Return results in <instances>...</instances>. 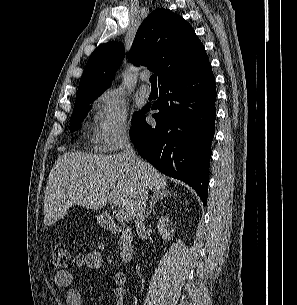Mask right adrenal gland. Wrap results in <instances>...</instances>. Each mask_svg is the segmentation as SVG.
Returning <instances> with one entry per match:
<instances>
[{"label": "right adrenal gland", "instance_id": "right-adrenal-gland-1", "mask_svg": "<svg viewBox=\"0 0 297 305\" xmlns=\"http://www.w3.org/2000/svg\"><path fill=\"white\" fill-rule=\"evenodd\" d=\"M171 196V193L169 191H153L152 195H151V201H150V205H149V209L145 215V218H148L152 211L154 206L157 204V202L165 197Z\"/></svg>", "mask_w": 297, "mask_h": 305}]
</instances>
